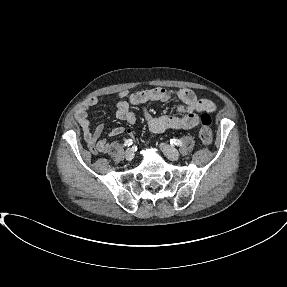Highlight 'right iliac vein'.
Masks as SVG:
<instances>
[{"label": "right iliac vein", "mask_w": 287, "mask_h": 287, "mask_svg": "<svg viewBox=\"0 0 287 287\" xmlns=\"http://www.w3.org/2000/svg\"><path fill=\"white\" fill-rule=\"evenodd\" d=\"M125 158L128 160V161H131L133 158H134V151L131 149V148H128L125 153Z\"/></svg>", "instance_id": "obj_1"}]
</instances>
